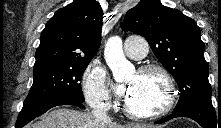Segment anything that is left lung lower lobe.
<instances>
[{"label": "left lung lower lobe", "instance_id": "left-lung-lower-lobe-1", "mask_svg": "<svg viewBox=\"0 0 221 128\" xmlns=\"http://www.w3.org/2000/svg\"><path fill=\"white\" fill-rule=\"evenodd\" d=\"M176 117L191 118L198 122L203 128H221L220 115L218 117L213 107L205 105H193L180 111L173 112L171 115H168L155 123L161 124Z\"/></svg>", "mask_w": 221, "mask_h": 128}]
</instances>
